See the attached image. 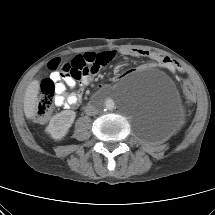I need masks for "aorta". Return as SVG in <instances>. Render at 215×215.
I'll return each mask as SVG.
<instances>
[{"mask_svg": "<svg viewBox=\"0 0 215 215\" xmlns=\"http://www.w3.org/2000/svg\"><path fill=\"white\" fill-rule=\"evenodd\" d=\"M122 88V87H121ZM122 95H115L114 92H103L97 97L98 107L103 111H113L118 108Z\"/></svg>", "mask_w": 215, "mask_h": 215, "instance_id": "obj_1", "label": "aorta"}]
</instances>
